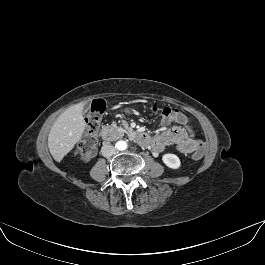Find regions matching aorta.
I'll use <instances>...</instances> for the list:
<instances>
[{
    "mask_svg": "<svg viewBox=\"0 0 265 265\" xmlns=\"http://www.w3.org/2000/svg\"><path fill=\"white\" fill-rule=\"evenodd\" d=\"M127 147H128L127 142L123 140L117 141L115 144V148L119 151H124L127 149Z\"/></svg>",
    "mask_w": 265,
    "mask_h": 265,
    "instance_id": "1",
    "label": "aorta"
}]
</instances>
